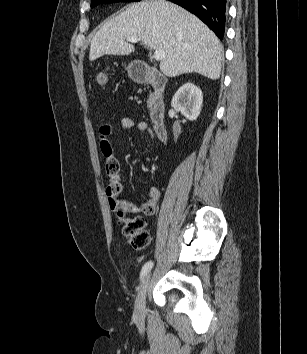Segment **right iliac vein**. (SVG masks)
I'll use <instances>...</instances> for the list:
<instances>
[{
  "mask_svg": "<svg viewBox=\"0 0 307 354\" xmlns=\"http://www.w3.org/2000/svg\"><path fill=\"white\" fill-rule=\"evenodd\" d=\"M150 281V274L143 281L135 302V315L138 320H143L146 313V294Z\"/></svg>",
  "mask_w": 307,
  "mask_h": 354,
  "instance_id": "obj_1",
  "label": "right iliac vein"
}]
</instances>
